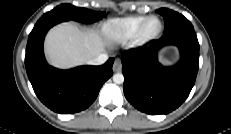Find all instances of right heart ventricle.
<instances>
[{
    "instance_id": "obj_1",
    "label": "right heart ventricle",
    "mask_w": 231,
    "mask_h": 134,
    "mask_svg": "<svg viewBox=\"0 0 231 134\" xmlns=\"http://www.w3.org/2000/svg\"><path fill=\"white\" fill-rule=\"evenodd\" d=\"M146 19L147 16L142 15L110 19L102 25V32L109 40L127 41L135 37Z\"/></svg>"
}]
</instances>
